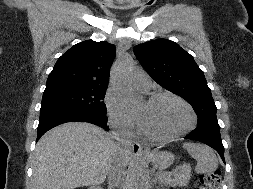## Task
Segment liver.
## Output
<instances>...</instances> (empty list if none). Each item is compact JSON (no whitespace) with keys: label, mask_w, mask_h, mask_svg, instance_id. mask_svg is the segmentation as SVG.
Here are the masks:
<instances>
[{"label":"liver","mask_w":253,"mask_h":189,"mask_svg":"<svg viewBox=\"0 0 253 189\" xmlns=\"http://www.w3.org/2000/svg\"><path fill=\"white\" fill-rule=\"evenodd\" d=\"M113 137L101 128L70 122L46 132L33 157V189H74L103 183L116 160L127 164Z\"/></svg>","instance_id":"1"}]
</instances>
